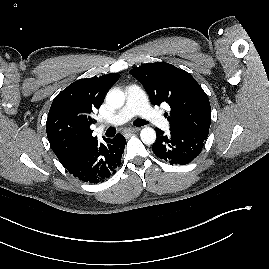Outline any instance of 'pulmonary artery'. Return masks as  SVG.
<instances>
[{"label":"pulmonary artery","instance_id":"pulmonary-artery-1","mask_svg":"<svg viewBox=\"0 0 269 269\" xmlns=\"http://www.w3.org/2000/svg\"><path fill=\"white\" fill-rule=\"evenodd\" d=\"M127 101L125 106L118 111L109 121L102 125H120L135 115H140L147 121L163 129L169 128V122L148 104L144 91L137 85H129L125 89Z\"/></svg>","mask_w":269,"mask_h":269}]
</instances>
